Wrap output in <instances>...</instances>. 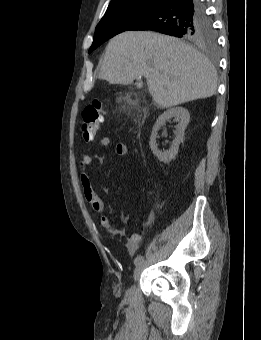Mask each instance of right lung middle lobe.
Listing matches in <instances>:
<instances>
[{
    "instance_id": "dd1d6c3e",
    "label": "right lung middle lobe",
    "mask_w": 261,
    "mask_h": 340,
    "mask_svg": "<svg viewBox=\"0 0 261 340\" xmlns=\"http://www.w3.org/2000/svg\"><path fill=\"white\" fill-rule=\"evenodd\" d=\"M160 1H135L108 8L104 17L98 23L92 46L89 53L111 37L127 31L142 17L154 10ZM184 39L213 47L216 43V34L210 18L205 14L184 31Z\"/></svg>"
}]
</instances>
